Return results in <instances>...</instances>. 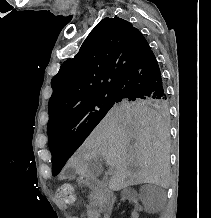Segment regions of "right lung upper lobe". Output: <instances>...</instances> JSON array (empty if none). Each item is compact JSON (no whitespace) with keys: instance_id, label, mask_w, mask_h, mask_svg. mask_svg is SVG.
<instances>
[{"instance_id":"right-lung-upper-lobe-1","label":"right lung upper lobe","mask_w":211,"mask_h":218,"mask_svg":"<svg viewBox=\"0 0 211 218\" xmlns=\"http://www.w3.org/2000/svg\"><path fill=\"white\" fill-rule=\"evenodd\" d=\"M151 48L133 25L121 18H104L90 32L79 52L66 60L51 81L48 127L80 104L113 91L119 80Z\"/></svg>"}]
</instances>
